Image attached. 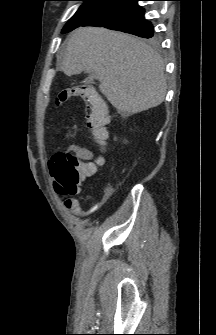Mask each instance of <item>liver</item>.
I'll return each mask as SVG.
<instances>
[{
  "instance_id": "obj_1",
  "label": "liver",
  "mask_w": 216,
  "mask_h": 335,
  "mask_svg": "<svg viewBox=\"0 0 216 335\" xmlns=\"http://www.w3.org/2000/svg\"><path fill=\"white\" fill-rule=\"evenodd\" d=\"M61 70L95 74L99 89L122 114L160 105L166 77L159 54L144 41L103 27H80L68 39Z\"/></svg>"
}]
</instances>
